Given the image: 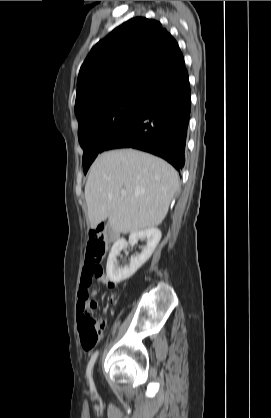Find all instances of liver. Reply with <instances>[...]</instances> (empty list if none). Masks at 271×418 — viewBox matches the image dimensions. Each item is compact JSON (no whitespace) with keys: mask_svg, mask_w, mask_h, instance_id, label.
<instances>
[{"mask_svg":"<svg viewBox=\"0 0 271 418\" xmlns=\"http://www.w3.org/2000/svg\"><path fill=\"white\" fill-rule=\"evenodd\" d=\"M178 186L177 171L161 158L134 149L104 152L91 165L85 185L90 226L108 219L116 233L154 228L164 220Z\"/></svg>","mask_w":271,"mask_h":418,"instance_id":"1","label":"liver"}]
</instances>
